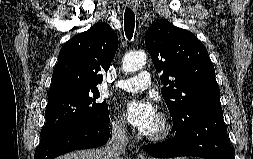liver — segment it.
<instances>
[{
    "label": "liver",
    "instance_id": "liver-1",
    "mask_svg": "<svg viewBox=\"0 0 253 159\" xmlns=\"http://www.w3.org/2000/svg\"><path fill=\"white\" fill-rule=\"evenodd\" d=\"M106 156L105 148H97L73 151L56 159H106Z\"/></svg>",
    "mask_w": 253,
    "mask_h": 159
}]
</instances>
